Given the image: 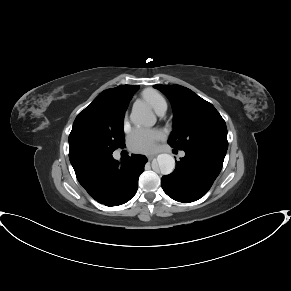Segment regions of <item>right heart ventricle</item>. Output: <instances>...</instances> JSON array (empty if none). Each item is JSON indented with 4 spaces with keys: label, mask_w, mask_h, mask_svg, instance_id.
<instances>
[{
    "label": "right heart ventricle",
    "mask_w": 291,
    "mask_h": 291,
    "mask_svg": "<svg viewBox=\"0 0 291 291\" xmlns=\"http://www.w3.org/2000/svg\"><path fill=\"white\" fill-rule=\"evenodd\" d=\"M142 97L156 112H159L162 108L166 107L165 99L159 92L154 89H145L142 92Z\"/></svg>",
    "instance_id": "e07e8e85"
}]
</instances>
